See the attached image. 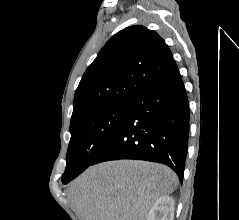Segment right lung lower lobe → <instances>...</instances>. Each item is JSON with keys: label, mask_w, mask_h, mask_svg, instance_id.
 I'll list each match as a JSON object with an SVG mask.
<instances>
[{"label": "right lung lower lobe", "mask_w": 239, "mask_h": 220, "mask_svg": "<svg viewBox=\"0 0 239 220\" xmlns=\"http://www.w3.org/2000/svg\"><path fill=\"white\" fill-rule=\"evenodd\" d=\"M189 136V104L176 67L140 93L117 131L94 159H138L172 168L183 180Z\"/></svg>", "instance_id": "obj_1"}]
</instances>
